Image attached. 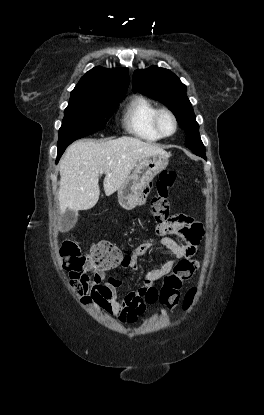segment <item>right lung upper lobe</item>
I'll use <instances>...</instances> for the list:
<instances>
[{
  "label": "right lung upper lobe",
  "instance_id": "cb5924a9",
  "mask_svg": "<svg viewBox=\"0 0 264 415\" xmlns=\"http://www.w3.org/2000/svg\"><path fill=\"white\" fill-rule=\"evenodd\" d=\"M129 85V71L95 67L88 71L71 91L70 98L124 95Z\"/></svg>",
  "mask_w": 264,
  "mask_h": 415
}]
</instances>
